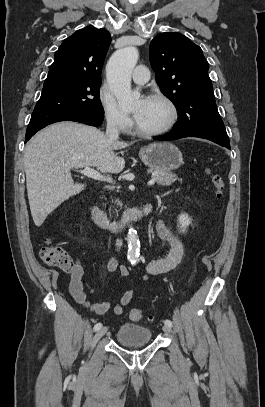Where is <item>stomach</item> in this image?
<instances>
[{
	"mask_svg": "<svg viewBox=\"0 0 265 407\" xmlns=\"http://www.w3.org/2000/svg\"><path fill=\"white\" fill-rule=\"evenodd\" d=\"M142 162L155 171H172L183 163L180 150L170 142H155L140 149Z\"/></svg>",
	"mask_w": 265,
	"mask_h": 407,
	"instance_id": "obj_1",
	"label": "stomach"
}]
</instances>
